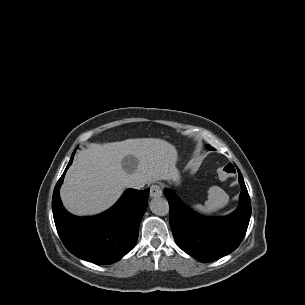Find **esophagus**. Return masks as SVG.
<instances>
[{
  "label": "esophagus",
  "instance_id": "esophagus-1",
  "mask_svg": "<svg viewBox=\"0 0 305 305\" xmlns=\"http://www.w3.org/2000/svg\"><path fill=\"white\" fill-rule=\"evenodd\" d=\"M162 195V189L159 185L154 184L150 187V197L154 198V197H159Z\"/></svg>",
  "mask_w": 305,
  "mask_h": 305
}]
</instances>
